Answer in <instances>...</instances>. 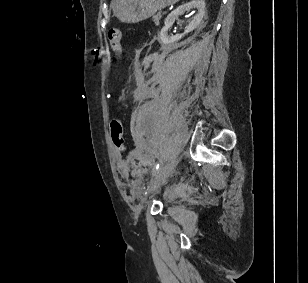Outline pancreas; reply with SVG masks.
<instances>
[{
    "label": "pancreas",
    "mask_w": 308,
    "mask_h": 283,
    "mask_svg": "<svg viewBox=\"0 0 308 283\" xmlns=\"http://www.w3.org/2000/svg\"><path fill=\"white\" fill-rule=\"evenodd\" d=\"M161 17H162L161 13H158V14L153 16V21L155 22L156 25H159V21H160Z\"/></svg>",
    "instance_id": "pancreas-1"
}]
</instances>
